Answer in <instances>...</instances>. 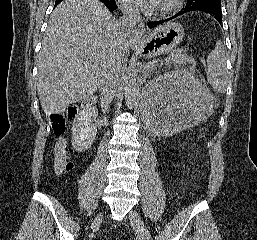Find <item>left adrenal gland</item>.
Masks as SVG:
<instances>
[{
  "mask_svg": "<svg viewBox=\"0 0 257 240\" xmlns=\"http://www.w3.org/2000/svg\"><path fill=\"white\" fill-rule=\"evenodd\" d=\"M146 77H147V73H144V75H143V81L146 80Z\"/></svg>",
  "mask_w": 257,
  "mask_h": 240,
  "instance_id": "left-adrenal-gland-1",
  "label": "left adrenal gland"
}]
</instances>
